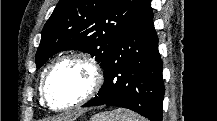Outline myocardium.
<instances>
[{
	"label": "myocardium",
	"instance_id": "myocardium-1",
	"mask_svg": "<svg viewBox=\"0 0 217 121\" xmlns=\"http://www.w3.org/2000/svg\"><path fill=\"white\" fill-rule=\"evenodd\" d=\"M70 62H82L87 66H89V68L92 71V77H93L92 83L89 90L81 98H79L78 100H76L75 102L69 105L57 107L52 104L48 93L49 82L53 73L58 67ZM102 84H103V69L100 63L97 61V59L87 53L75 52L59 58L49 67L42 83V96L45 103L48 105V107L51 110L56 112H64L88 102L90 99L94 97L95 94L98 93Z\"/></svg>",
	"mask_w": 217,
	"mask_h": 121
}]
</instances>
